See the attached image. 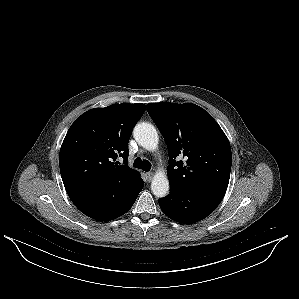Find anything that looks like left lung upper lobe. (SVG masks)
I'll use <instances>...</instances> for the list:
<instances>
[{"instance_id":"obj_1","label":"left lung upper lobe","mask_w":299,"mask_h":299,"mask_svg":"<svg viewBox=\"0 0 299 299\" xmlns=\"http://www.w3.org/2000/svg\"><path fill=\"white\" fill-rule=\"evenodd\" d=\"M168 147L170 188L226 192L232 154L228 138L203 108L169 102L147 104ZM179 158L183 160L176 161Z\"/></svg>"}]
</instances>
